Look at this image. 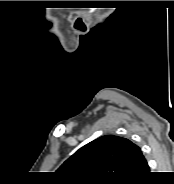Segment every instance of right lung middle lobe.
Listing matches in <instances>:
<instances>
[{
	"label": "right lung middle lobe",
	"instance_id": "obj_1",
	"mask_svg": "<svg viewBox=\"0 0 174 184\" xmlns=\"http://www.w3.org/2000/svg\"><path fill=\"white\" fill-rule=\"evenodd\" d=\"M123 183V182H121ZM121 183H115V184H121ZM88 184H108V183H88Z\"/></svg>",
	"mask_w": 174,
	"mask_h": 184
}]
</instances>
